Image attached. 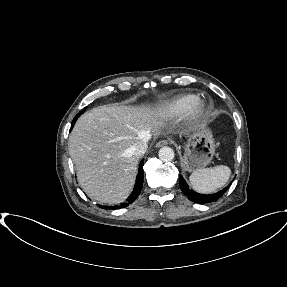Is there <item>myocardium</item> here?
Here are the masks:
<instances>
[{
	"instance_id": "1",
	"label": "myocardium",
	"mask_w": 287,
	"mask_h": 287,
	"mask_svg": "<svg viewBox=\"0 0 287 287\" xmlns=\"http://www.w3.org/2000/svg\"><path fill=\"white\" fill-rule=\"evenodd\" d=\"M207 110V105L206 103L199 99L196 98L186 109L185 114L187 119L189 120H197L201 118Z\"/></svg>"
}]
</instances>
